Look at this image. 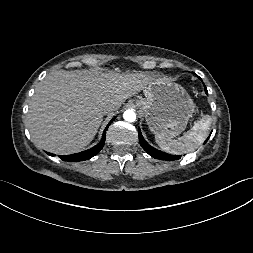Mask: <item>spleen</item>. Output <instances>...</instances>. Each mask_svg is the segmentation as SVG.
I'll return each instance as SVG.
<instances>
[{
  "label": "spleen",
  "instance_id": "obj_1",
  "mask_svg": "<svg viewBox=\"0 0 253 253\" xmlns=\"http://www.w3.org/2000/svg\"><path fill=\"white\" fill-rule=\"evenodd\" d=\"M211 122V116H203L187 133L178 139L156 135V143L162 150L170 154L178 155L194 151L207 138Z\"/></svg>",
  "mask_w": 253,
  "mask_h": 253
}]
</instances>
